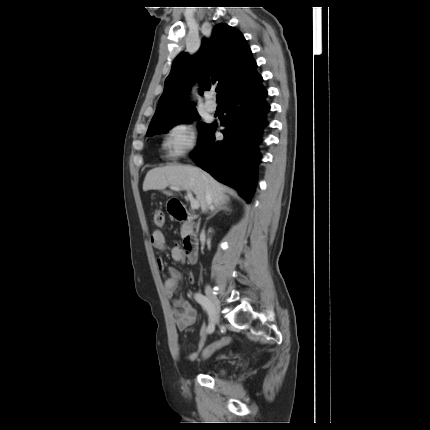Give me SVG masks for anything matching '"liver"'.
Here are the masks:
<instances>
[{
	"instance_id": "6515ba94",
	"label": "liver",
	"mask_w": 430,
	"mask_h": 430,
	"mask_svg": "<svg viewBox=\"0 0 430 430\" xmlns=\"http://www.w3.org/2000/svg\"><path fill=\"white\" fill-rule=\"evenodd\" d=\"M167 186L192 190L202 211L206 209L205 196L208 189L212 192L215 207L228 201L222 184L209 173L190 165H167L151 169L145 176L143 191L164 190Z\"/></svg>"
}]
</instances>
